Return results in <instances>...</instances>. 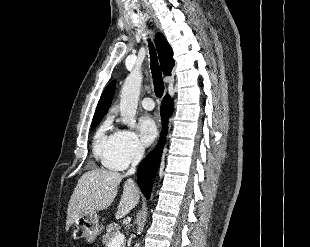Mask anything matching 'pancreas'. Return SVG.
Instances as JSON below:
<instances>
[{"label":"pancreas","instance_id":"1","mask_svg":"<svg viewBox=\"0 0 310 247\" xmlns=\"http://www.w3.org/2000/svg\"><path fill=\"white\" fill-rule=\"evenodd\" d=\"M120 227L118 224L112 223L106 228V234L102 236V243L104 245H108V243L117 235L119 234ZM124 247V245L122 246Z\"/></svg>","mask_w":310,"mask_h":247}]
</instances>
